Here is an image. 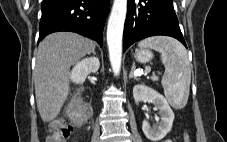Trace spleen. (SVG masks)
Segmentation results:
<instances>
[{
    "label": "spleen",
    "mask_w": 227,
    "mask_h": 142,
    "mask_svg": "<svg viewBox=\"0 0 227 142\" xmlns=\"http://www.w3.org/2000/svg\"><path fill=\"white\" fill-rule=\"evenodd\" d=\"M140 48H152L161 53L165 74L161 84L169 103L176 109L183 108L188 101L191 69L186 48L177 40L154 36L138 43Z\"/></svg>",
    "instance_id": "1"
}]
</instances>
